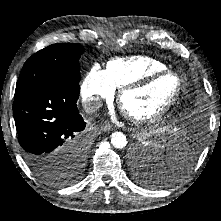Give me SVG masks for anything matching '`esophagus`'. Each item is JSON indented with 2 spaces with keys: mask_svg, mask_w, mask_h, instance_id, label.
Instances as JSON below:
<instances>
[{
  "mask_svg": "<svg viewBox=\"0 0 221 221\" xmlns=\"http://www.w3.org/2000/svg\"><path fill=\"white\" fill-rule=\"evenodd\" d=\"M101 130L104 131V132H109V131H112L113 128L111 125L109 124H102L101 125Z\"/></svg>",
  "mask_w": 221,
  "mask_h": 221,
  "instance_id": "obj_1",
  "label": "esophagus"
}]
</instances>
